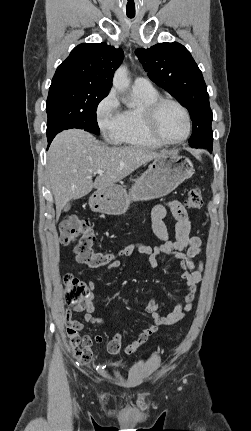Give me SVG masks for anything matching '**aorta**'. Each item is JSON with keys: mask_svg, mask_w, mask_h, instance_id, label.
Here are the masks:
<instances>
[{"mask_svg": "<svg viewBox=\"0 0 251 431\" xmlns=\"http://www.w3.org/2000/svg\"><path fill=\"white\" fill-rule=\"evenodd\" d=\"M130 81L128 79V69L126 66H120L113 77V86L119 92L124 93L129 87ZM130 107L134 106V103H128Z\"/></svg>", "mask_w": 251, "mask_h": 431, "instance_id": "obj_1", "label": "aorta"}]
</instances>
